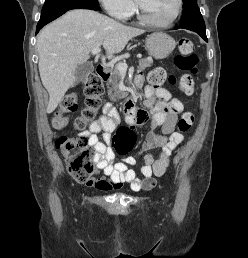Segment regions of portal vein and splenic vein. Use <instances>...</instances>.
Segmentation results:
<instances>
[{"instance_id":"18ae733b","label":"portal vein and splenic vein","mask_w":248,"mask_h":258,"mask_svg":"<svg viewBox=\"0 0 248 258\" xmlns=\"http://www.w3.org/2000/svg\"><path fill=\"white\" fill-rule=\"evenodd\" d=\"M100 51H101L100 48H99V47H96V48H94V49L92 50V54H93V55H99ZM137 57H138V58H141L140 55H137ZM117 68H118L119 72H121V73H126L127 68H128V65H127V63H125V62L118 63V64H117Z\"/></svg>"}]
</instances>
